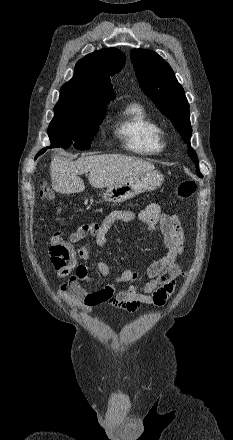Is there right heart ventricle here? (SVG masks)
<instances>
[{"instance_id": "e07e8e85", "label": "right heart ventricle", "mask_w": 233, "mask_h": 440, "mask_svg": "<svg viewBox=\"0 0 233 440\" xmlns=\"http://www.w3.org/2000/svg\"><path fill=\"white\" fill-rule=\"evenodd\" d=\"M114 132L131 154L150 156L164 149L160 125L141 104L133 103L122 111L115 122Z\"/></svg>"}]
</instances>
